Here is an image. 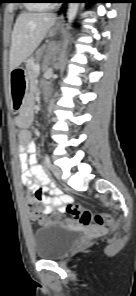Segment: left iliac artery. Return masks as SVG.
I'll list each match as a JSON object with an SVG mask.
<instances>
[{
  "instance_id": "1",
  "label": "left iliac artery",
  "mask_w": 136,
  "mask_h": 296,
  "mask_svg": "<svg viewBox=\"0 0 136 296\" xmlns=\"http://www.w3.org/2000/svg\"><path fill=\"white\" fill-rule=\"evenodd\" d=\"M45 164H46V166L48 167V168H50V166H51V162H50V159H49V157L46 155L45 156Z\"/></svg>"
}]
</instances>
